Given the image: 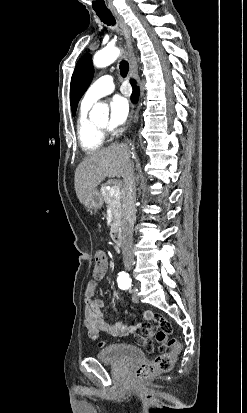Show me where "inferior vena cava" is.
<instances>
[{"mask_svg": "<svg viewBox=\"0 0 247 413\" xmlns=\"http://www.w3.org/2000/svg\"><path fill=\"white\" fill-rule=\"evenodd\" d=\"M127 146L129 152L132 142H123ZM134 162L129 158L126 168L122 174L123 188H122V255L125 269L130 271L134 261L132 251V235L136 215L135 198H136V184L134 174Z\"/></svg>", "mask_w": 247, "mask_h": 413, "instance_id": "1", "label": "inferior vena cava"}]
</instances>
